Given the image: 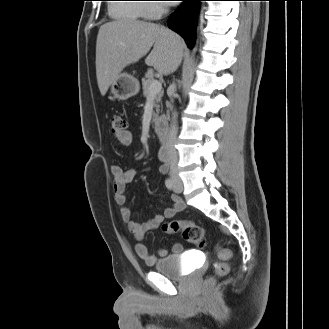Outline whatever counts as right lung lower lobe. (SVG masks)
Instances as JSON below:
<instances>
[{"label": "right lung lower lobe", "instance_id": "obj_1", "mask_svg": "<svg viewBox=\"0 0 329 329\" xmlns=\"http://www.w3.org/2000/svg\"><path fill=\"white\" fill-rule=\"evenodd\" d=\"M180 9L170 17L168 27L179 33L186 41L189 48L193 46L195 32V17L198 9V2L204 0H182Z\"/></svg>", "mask_w": 329, "mask_h": 329}]
</instances>
